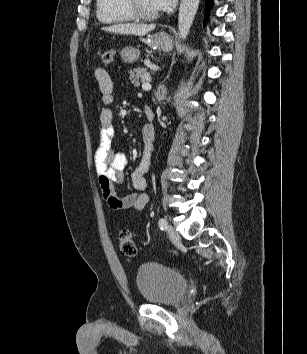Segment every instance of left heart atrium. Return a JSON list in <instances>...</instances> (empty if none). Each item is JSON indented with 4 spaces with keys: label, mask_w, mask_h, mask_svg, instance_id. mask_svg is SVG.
<instances>
[{
    "label": "left heart atrium",
    "mask_w": 307,
    "mask_h": 354,
    "mask_svg": "<svg viewBox=\"0 0 307 354\" xmlns=\"http://www.w3.org/2000/svg\"><path fill=\"white\" fill-rule=\"evenodd\" d=\"M154 5L158 11H165L171 9L176 0H153Z\"/></svg>",
    "instance_id": "left-heart-atrium-1"
}]
</instances>
